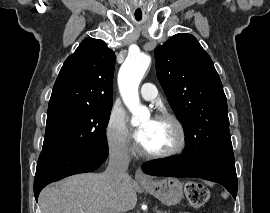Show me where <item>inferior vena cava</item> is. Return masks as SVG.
<instances>
[{"label": "inferior vena cava", "instance_id": "obj_1", "mask_svg": "<svg viewBox=\"0 0 270 213\" xmlns=\"http://www.w3.org/2000/svg\"><path fill=\"white\" fill-rule=\"evenodd\" d=\"M130 155L126 143L112 147L109 150V164L105 171L107 178L116 185H120L128 178L127 169Z\"/></svg>", "mask_w": 270, "mask_h": 213}]
</instances>
